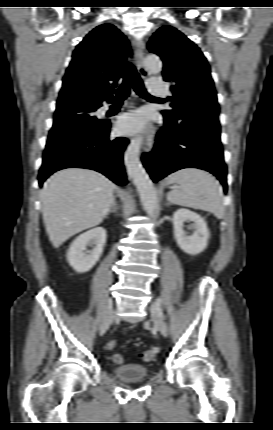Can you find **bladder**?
I'll return each instance as SVG.
<instances>
[{
	"instance_id": "obj_1",
	"label": "bladder",
	"mask_w": 273,
	"mask_h": 430,
	"mask_svg": "<svg viewBox=\"0 0 273 430\" xmlns=\"http://www.w3.org/2000/svg\"><path fill=\"white\" fill-rule=\"evenodd\" d=\"M113 376L121 382L134 383L148 378L149 372L146 366L141 364H123L113 368Z\"/></svg>"
}]
</instances>
